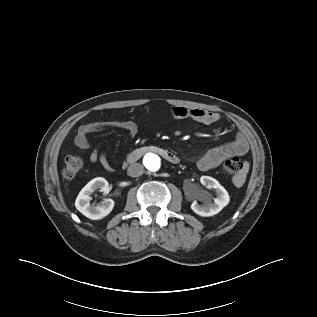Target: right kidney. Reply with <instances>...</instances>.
Instances as JSON below:
<instances>
[{
	"instance_id": "1",
	"label": "right kidney",
	"mask_w": 317,
	"mask_h": 317,
	"mask_svg": "<svg viewBox=\"0 0 317 317\" xmlns=\"http://www.w3.org/2000/svg\"><path fill=\"white\" fill-rule=\"evenodd\" d=\"M99 189L105 194L108 193V181L102 177H97L86 184L80 191L75 201V207L84 216L92 220H99L107 216L114 208L112 199H105L98 204H90V195Z\"/></svg>"
}]
</instances>
